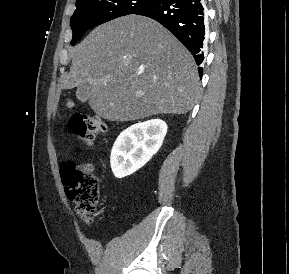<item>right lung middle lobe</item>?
Here are the masks:
<instances>
[{
  "mask_svg": "<svg viewBox=\"0 0 289 274\" xmlns=\"http://www.w3.org/2000/svg\"><path fill=\"white\" fill-rule=\"evenodd\" d=\"M157 0H76V10L71 17L74 45L90 28L112 19L135 14Z\"/></svg>",
  "mask_w": 289,
  "mask_h": 274,
  "instance_id": "dd1d6c3e",
  "label": "right lung middle lobe"
}]
</instances>
